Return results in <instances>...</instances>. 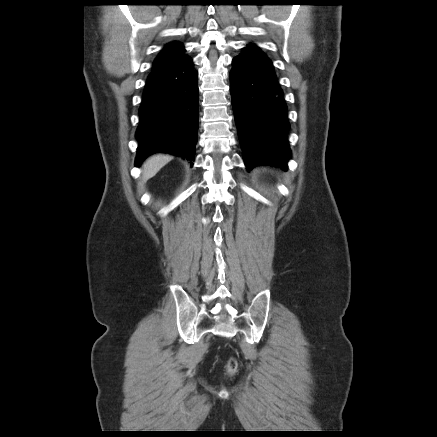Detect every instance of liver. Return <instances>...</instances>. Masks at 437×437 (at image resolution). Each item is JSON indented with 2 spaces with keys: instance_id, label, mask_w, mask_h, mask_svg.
<instances>
[{
  "instance_id": "1",
  "label": "liver",
  "mask_w": 437,
  "mask_h": 437,
  "mask_svg": "<svg viewBox=\"0 0 437 437\" xmlns=\"http://www.w3.org/2000/svg\"><path fill=\"white\" fill-rule=\"evenodd\" d=\"M172 156L167 154H156L150 156L143 164V181H147L157 174V172L170 162Z\"/></svg>"
}]
</instances>
